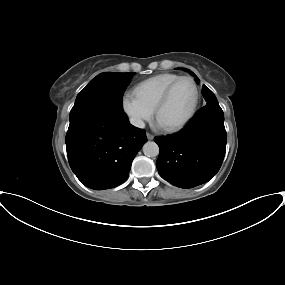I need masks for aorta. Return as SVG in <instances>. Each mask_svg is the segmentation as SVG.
<instances>
[{
  "label": "aorta",
  "instance_id": "aorta-1",
  "mask_svg": "<svg viewBox=\"0 0 285 285\" xmlns=\"http://www.w3.org/2000/svg\"><path fill=\"white\" fill-rule=\"evenodd\" d=\"M143 153L147 157H156L159 154V147L153 141H148L143 145Z\"/></svg>",
  "mask_w": 285,
  "mask_h": 285
}]
</instances>
